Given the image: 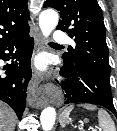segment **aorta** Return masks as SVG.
<instances>
[{
	"label": "aorta",
	"instance_id": "obj_1",
	"mask_svg": "<svg viewBox=\"0 0 117 131\" xmlns=\"http://www.w3.org/2000/svg\"><path fill=\"white\" fill-rule=\"evenodd\" d=\"M59 21L58 13L52 9H47L39 15V26L44 37H48L56 28ZM56 119V111L53 107H46L40 116L42 129L51 131Z\"/></svg>",
	"mask_w": 117,
	"mask_h": 131
}]
</instances>
